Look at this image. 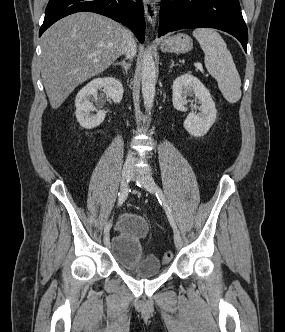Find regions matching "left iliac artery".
Returning <instances> with one entry per match:
<instances>
[{"label":"left iliac artery","instance_id":"1","mask_svg":"<svg viewBox=\"0 0 285 332\" xmlns=\"http://www.w3.org/2000/svg\"><path fill=\"white\" fill-rule=\"evenodd\" d=\"M156 196H157L160 204L164 207L171 226L173 227L174 230H177V227L174 222L173 215H172V210H171L170 206L168 205L162 190L159 187H156Z\"/></svg>","mask_w":285,"mask_h":332}]
</instances>
